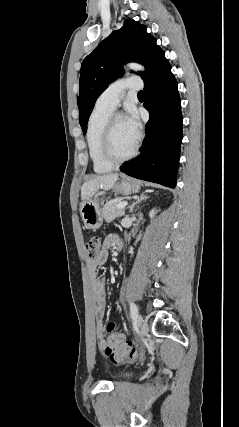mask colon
<instances>
[{
	"label": "colon",
	"mask_w": 239,
	"mask_h": 427,
	"mask_svg": "<svg viewBox=\"0 0 239 427\" xmlns=\"http://www.w3.org/2000/svg\"><path fill=\"white\" fill-rule=\"evenodd\" d=\"M101 246V238L94 236L90 238L85 244L87 257L93 259L97 256ZM107 331V344L105 347V354L114 363H122L124 361H133L137 358L140 351L131 346V344L124 340L123 336L115 332V324L108 323Z\"/></svg>",
	"instance_id": "obj_1"
}]
</instances>
